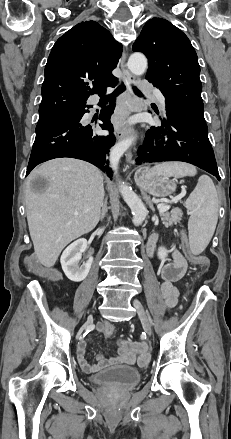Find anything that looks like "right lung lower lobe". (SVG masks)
Returning a JSON list of instances; mask_svg holds the SVG:
<instances>
[{
  "instance_id": "1",
  "label": "right lung lower lobe",
  "mask_w": 231,
  "mask_h": 439,
  "mask_svg": "<svg viewBox=\"0 0 231 439\" xmlns=\"http://www.w3.org/2000/svg\"><path fill=\"white\" fill-rule=\"evenodd\" d=\"M117 82L113 85V87ZM125 89L119 86L109 96H101L100 102H114L115 97ZM104 106V105H103ZM84 105L66 115L48 121L38 123L36 126V138L32 147L26 175L38 164L59 157H71L88 161L108 176H112V170L107 160V154L116 138L113 135V125L110 116L113 114L115 105L107 106L100 113L99 119L104 130L109 129V135H99L91 125L81 123L80 120L85 112Z\"/></svg>"
}]
</instances>
